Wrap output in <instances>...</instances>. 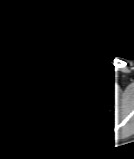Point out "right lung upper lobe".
Instances as JSON below:
<instances>
[{
    "instance_id": "cb5924a9",
    "label": "right lung upper lobe",
    "mask_w": 134,
    "mask_h": 159,
    "mask_svg": "<svg viewBox=\"0 0 134 159\" xmlns=\"http://www.w3.org/2000/svg\"><path fill=\"white\" fill-rule=\"evenodd\" d=\"M38 96H39L38 91L32 89V90L29 92L28 96L25 97V99L23 100V101H24V104H26V105L33 104L34 101L38 98Z\"/></svg>"
}]
</instances>
